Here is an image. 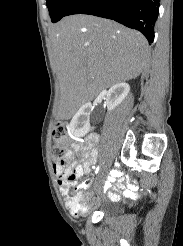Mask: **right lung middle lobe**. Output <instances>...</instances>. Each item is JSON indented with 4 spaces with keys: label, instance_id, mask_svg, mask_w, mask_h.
Here are the masks:
<instances>
[{
    "label": "right lung middle lobe",
    "instance_id": "right-lung-middle-lobe-1",
    "mask_svg": "<svg viewBox=\"0 0 183 246\" xmlns=\"http://www.w3.org/2000/svg\"><path fill=\"white\" fill-rule=\"evenodd\" d=\"M76 0H46L51 21L53 23L64 17Z\"/></svg>",
    "mask_w": 183,
    "mask_h": 246
}]
</instances>
